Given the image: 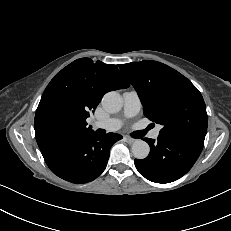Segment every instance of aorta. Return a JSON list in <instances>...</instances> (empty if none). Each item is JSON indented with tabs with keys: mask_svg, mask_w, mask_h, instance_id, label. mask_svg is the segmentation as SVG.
<instances>
[{
	"mask_svg": "<svg viewBox=\"0 0 231 231\" xmlns=\"http://www.w3.org/2000/svg\"><path fill=\"white\" fill-rule=\"evenodd\" d=\"M122 105V97L115 91L106 93L102 99L103 108L110 113L119 112ZM149 152L150 147L143 140H136L132 145V153L137 159H145L149 155Z\"/></svg>",
	"mask_w": 231,
	"mask_h": 231,
	"instance_id": "762f6f07",
	"label": "aorta"
}]
</instances>
